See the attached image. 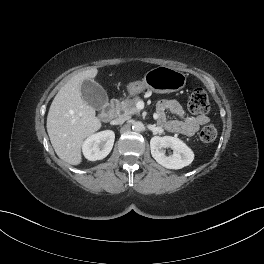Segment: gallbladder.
<instances>
[{
  "mask_svg": "<svg viewBox=\"0 0 264 264\" xmlns=\"http://www.w3.org/2000/svg\"><path fill=\"white\" fill-rule=\"evenodd\" d=\"M83 100L96 110L102 109L108 102L104 88L92 79L84 80L81 85Z\"/></svg>",
  "mask_w": 264,
  "mask_h": 264,
  "instance_id": "obj_1",
  "label": "gallbladder"
}]
</instances>
